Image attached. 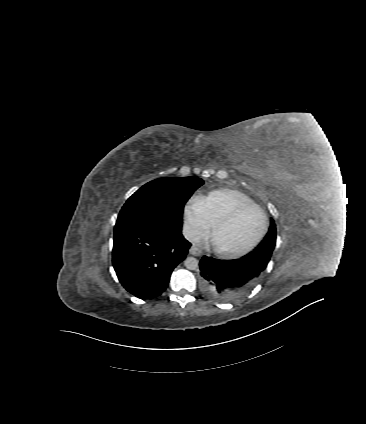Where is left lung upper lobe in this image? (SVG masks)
<instances>
[{
	"label": "left lung upper lobe",
	"instance_id": "left-lung-upper-lobe-1",
	"mask_svg": "<svg viewBox=\"0 0 366 424\" xmlns=\"http://www.w3.org/2000/svg\"><path fill=\"white\" fill-rule=\"evenodd\" d=\"M276 244V225L273 220H271V225L268 234L265 236L263 241L258 245V247L249 254L260 258L267 263L271 259L272 252Z\"/></svg>",
	"mask_w": 366,
	"mask_h": 424
}]
</instances>
